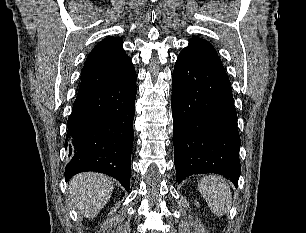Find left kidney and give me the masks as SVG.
Returning <instances> with one entry per match:
<instances>
[{
  "label": "left kidney",
  "mask_w": 306,
  "mask_h": 233,
  "mask_svg": "<svg viewBox=\"0 0 306 233\" xmlns=\"http://www.w3.org/2000/svg\"><path fill=\"white\" fill-rule=\"evenodd\" d=\"M196 205H198V206H199V203H198V202H196Z\"/></svg>",
  "instance_id": "1"
}]
</instances>
